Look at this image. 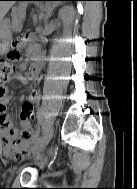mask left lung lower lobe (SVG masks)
Returning <instances> with one entry per match:
<instances>
[{"label":"left lung lower lobe","instance_id":"0a47b994","mask_svg":"<svg viewBox=\"0 0 137 189\" xmlns=\"http://www.w3.org/2000/svg\"><path fill=\"white\" fill-rule=\"evenodd\" d=\"M64 1H79V0H64Z\"/></svg>","mask_w":137,"mask_h":189}]
</instances>
